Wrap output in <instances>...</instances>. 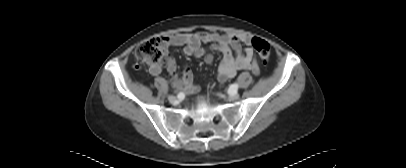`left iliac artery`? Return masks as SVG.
<instances>
[{
  "mask_svg": "<svg viewBox=\"0 0 406 168\" xmlns=\"http://www.w3.org/2000/svg\"><path fill=\"white\" fill-rule=\"evenodd\" d=\"M237 89H238V84L234 83V84L230 85L228 92H229V94H231V93L237 92Z\"/></svg>",
  "mask_w": 406,
  "mask_h": 168,
  "instance_id": "1",
  "label": "left iliac artery"
}]
</instances>
